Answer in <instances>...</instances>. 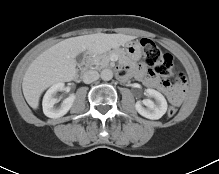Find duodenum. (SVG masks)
Wrapping results in <instances>:
<instances>
[{
  "label": "duodenum",
  "mask_w": 219,
  "mask_h": 174,
  "mask_svg": "<svg viewBox=\"0 0 219 174\" xmlns=\"http://www.w3.org/2000/svg\"><path fill=\"white\" fill-rule=\"evenodd\" d=\"M89 57H90V56H87V59H86L85 63L88 62ZM83 69H85V64L82 66V70H83Z\"/></svg>",
  "instance_id": "duodenum-1"
}]
</instances>
